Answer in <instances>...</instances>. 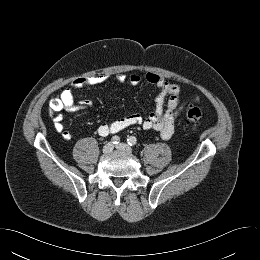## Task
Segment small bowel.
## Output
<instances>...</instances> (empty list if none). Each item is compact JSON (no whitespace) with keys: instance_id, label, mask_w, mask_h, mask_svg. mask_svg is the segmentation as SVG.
<instances>
[{"instance_id":"obj_1","label":"small bowel","mask_w":260,"mask_h":260,"mask_svg":"<svg viewBox=\"0 0 260 260\" xmlns=\"http://www.w3.org/2000/svg\"><path fill=\"white\" fill-rule=\"evenodd\" d=\"M108 78L109 76L107 74L99 73L76 79L73 83L68 85L60 95L63 107L76 116L85 114L90 108V103L88 101L76 103L74 97L75 89L101 84L106 82ZM115 79L119 83L128 82L136 86L140 83L141 76L138 74L126 76L125 74L119 73L115 76ZM145 81L159 89V93L155 98L154 110L146 117L139 114H130L110 123H102L97 129L100 136L105 137L129 126L140 125L146 130L157 131L162 139L171 138L174 133L175 122L184 108V103L180 98L181 86L153 72H149L145 75ZM192 100L199 101L200 98L194 96ZM55 127L65 140L70 141L73 139V135L65 130L61 116L57 117Z\"/></svg>"}]
</instances>
